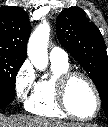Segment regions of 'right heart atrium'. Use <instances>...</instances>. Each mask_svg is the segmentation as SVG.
<instances>
[{"instance_id": "d8ad5b80", "label": "right heart atrium", "mask_w": 108, "mask_h": 127, "mask_svg": "<svg viewBox=\"0 0 108 127\" xmlns=\"http://www.w3.org/2000/svg\"><path fill=\"white\" fill-rule=\"evenodd\" d=\"M36 85L37 80L33 66L29 61L23 62L14 79L15 93L17 98L27 104L30 99L29 95L31 92H34Z\"/></svg>"}]
</instances>
